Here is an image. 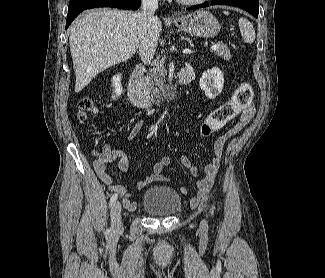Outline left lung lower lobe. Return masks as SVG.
Returning <instances> with one entry per match:
<instances>
[{
    "label": "left lung lower lobe",
    "mask_w": 325,
    "mask_h": 278,
    "mask_svg": "<svg viewBox=\"0 0 325 278\" xmlns=\"http://www.w3.org/2000/svg\"><path fill=\"white\" fill-rule=\"evenodd\" d=\"M211 5H230V6L239 7V8H242V9L248 11L255 18H258V14H259L258 0H213V2H211ZM207 6H209V3L205 2L203 4L188 8V10L201 8V7H207Z\"/></svg>",
    "instance_id": "obj_1"
}]
</instances>
